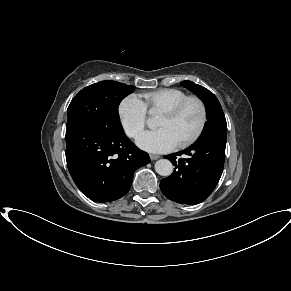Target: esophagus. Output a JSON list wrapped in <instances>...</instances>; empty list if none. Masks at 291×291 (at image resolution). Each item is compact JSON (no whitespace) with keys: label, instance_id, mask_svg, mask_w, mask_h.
<instances>
[{"label":"esophagus","instance_id":"34e87169","mask_svg":"<svg viewBox=\"0 0 291 291\" xmlns=\"http://www.w3.org/2000/svg\"><path fill=\"white\" fill-rule=\"evenodd\" d=\"M158 158H160V155H157V154H150V159H151V160H156V159H158Z\"/></svg>","mask_w":291,"mask_h":291}]
</instances>
